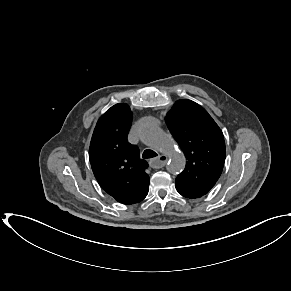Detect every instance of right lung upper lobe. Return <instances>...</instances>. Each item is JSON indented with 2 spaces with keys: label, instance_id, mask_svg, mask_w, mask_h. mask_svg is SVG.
I'll return each mask as SVG.
<instances>
[{
  "label": "right lung upper lobe",
  "instance_id": "1",
  "mask_svg": "<svg viewBox=\"0 0 291 291\" xmlns=\"http://www.w3.org/2000/svg\"><path fill=\"white\" fill-rule=\"evenodd\" d=\"M132 112L125 103L108 109L94 129L89 159L99 185L116 201L135 204L148 194V163L140 159L139 149L131 145L127 135Z\"/></svg>",
  "mask_w": 291,
  "mask_h": 291
}]
</instances>
